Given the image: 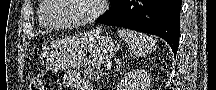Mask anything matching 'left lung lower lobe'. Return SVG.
Returning a JSON list of instances; mask_svg holds the SVG:
<instances>
[{
	"mask_svg": "<svg viewBox=\"0 0 216 90\" xmlns=\"http://www.w3.org/2000/svg\"><path fill=\"white\" fill-rule=\"evenodd\" d=\"M181 0H119L96 23L121 26L163 38L176 54Z\"/></svg>",
	"mask_w": 216,
	"mask_h": 90,
	"instance_id": "obj_1",
	"label": "left lung lower lobe"
}]
</instances>
